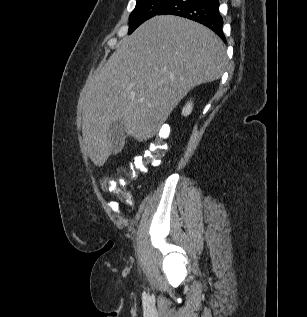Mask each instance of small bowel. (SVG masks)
<instances>
[{
	"label": "small bowel",
	"mask_w": 307,
	"mask_h": 317,
	"mask_svg": "<svg viewBox=\"0 0 307 317\" xmlns=\"http://www.w3.org/2000/svg\"><path fill=\"white\" fill-rule=\"evenodd\" d=\"M131 201V197L128 193H126V199L125 202L129 203ZM108 207L118 216H122L120 205L117 201H108L107 202Z\"/></svg>",
	"instance_id": "small-bowel-1"
}]
</instances>
